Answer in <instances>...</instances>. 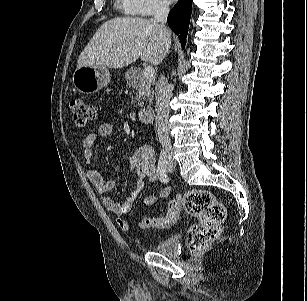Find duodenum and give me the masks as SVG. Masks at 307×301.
I'll list each match as a JSON object with an SVG mask.
<instances>
[{
  "label": "duodenum",
  "instance_id": "duodenum-1",
  "mask_svg": "<svg viewBox=\"0 0 307 301\" xmlns=\"http://www.w3.org/2000/svg\"><path fill=\"white\" fill-rule=\"evenodd\" d=\"M155 111L153 107H145L139 111V121L142 124H150L153 122Z\"/></svg>",
  "mask_w": 307,
  "mask_h": 301
}]
</instances>
